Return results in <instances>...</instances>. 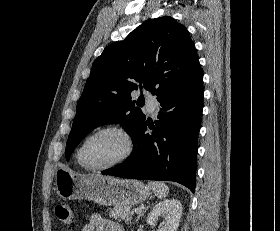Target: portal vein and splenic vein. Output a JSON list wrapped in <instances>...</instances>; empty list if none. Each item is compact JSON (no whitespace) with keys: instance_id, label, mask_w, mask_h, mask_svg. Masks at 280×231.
<instances>
[{"instance_id":"portal-vein-and-splenic-vein-1","label":"portal vein and splenic vein","mask_w":280,"mask_h":231,"mask_svg":"<svg viewBox=\"0 0 280 231\" xmlns=\"http://www.w3.org/2000/svg\"><path fill=\"white\" fill-rule=\"evenodd\" d=\"M135 211H137V213H139L140 209H135Z\"/></svg>"}]
</instances>
